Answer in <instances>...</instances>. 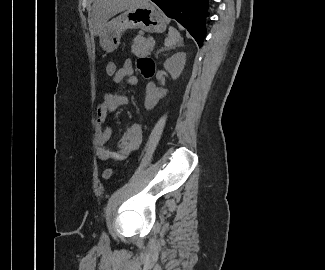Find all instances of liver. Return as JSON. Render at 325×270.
Wrapping results in <instances>:
<instances>
[{"mask_svg":"<svg viewBox=\"0 0 325 270\" xmlns=\"http://www.w3.org/2000/svg\"><path fill=\"white\" fill-rule=\"evenodd\" d=\"M147 0H94L91 26L95 36H100L107 21L129 7L146 3Z\"/></svg>","mask_w":325,"mask_h":270,"instance_id":"obj_1","label":"liver"}]
</instances>
